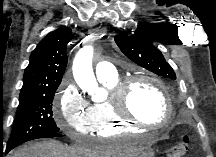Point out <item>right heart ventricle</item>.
<instances>
[{
    "instance_id": "1",
    "label": "right heart ventricle",
    "mask_w": 216,
    "mask_h": 157,
    "mask_svg": "<svg viewBox=\"0 0 216 157\" xmlns=\"http://www.w3.org/2000/svg\"><path fill=\"white\" fill-rule=\"evenodd\" d=\"M119 81H121L119 75L101 80L100 82L108 90L109 96L107 99L95 102L91 105L94 115L93 132H95L96 136L99 138H109L116 135H136L140 133L139 130L119 119L115 114L111 93Z\"/></svg>"
}]
</instances>
